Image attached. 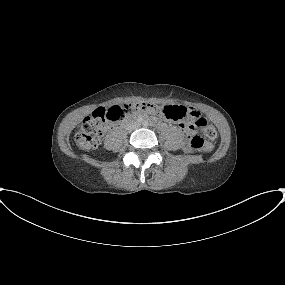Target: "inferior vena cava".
<instances>
[{
  "label": "inferior vena cava",
  "mask_w": 285,
  "mask_h": 285,
  "mask_svg": "<svg viewBox=\"0 0 285 285\" xmlns=\"http://www.w3.org/2000/svg\"><path fill=\"white\" fill-rule=\"evenodd\" d=\"M134 128H136V126H133V127H131L130 129L132 130V129H134Z\"/></svg>",
  "instance_id": "602c4592"
}]
</instances>
